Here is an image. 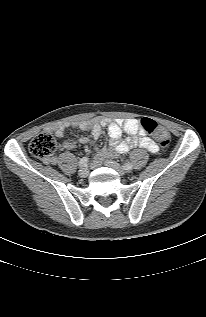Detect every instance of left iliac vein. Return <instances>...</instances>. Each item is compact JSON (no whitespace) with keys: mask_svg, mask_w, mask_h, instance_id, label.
I'll return each instance as SVG.
<instances>
[{"mask_svg":"<svg viewBox=\"0 0 206 317\" xmlns=\"http://www.w3.org/2000/svg\"><path fill=\"white\" fill-rule=\"evenodd\" d=\"M105 165L116 170L119 175L123 176L125 175L126 171L124 168H122L117 162L112 161V160H106Z\"/></svg>","mask_w":206,"mask_h":317,"instance_id":"4c4485c4","label":"left iliac vein"}]
</instances>
